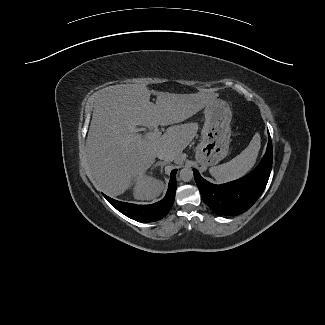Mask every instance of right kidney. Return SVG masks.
I'll return each instance as SVG.
<instances>
[{"label": "right kidney", "instance_id": "right-kidney-1", "mask_svg": "<svg viewBox=\"0 0 325 325\" xmlns=\"http://www.w3.org/2000/svg\"><path fill=\"white\" fill-rule=\"evenodd\" d=\"M163 188L161 181L149 176H140L137 178L134 188V196L141 200H150L157 197Z\"/></svg>", "mask_w": 325, "mask_h": 325}]
</instances>
